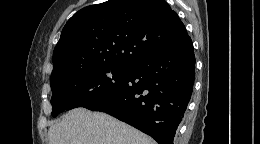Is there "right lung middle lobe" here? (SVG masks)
I'll return each mask as SVG.
<instances>
[{
  "label": "right lung middle lobe",
  "instance_id": "dd1d6c3e",
  "mask_svg": "<svg viewBox=\"0 0 260 144\" xmlns=\"http://www.w3.org/2000/svg\"><path fill=\"white\" fill-rule=\"evenodd\" d=\"M128 67L98 65L51 77L52 116L108 98L125 83Z\"/></svg>",
  "mask_w": 260,
  "mask_h": 144
}]
</instances>
